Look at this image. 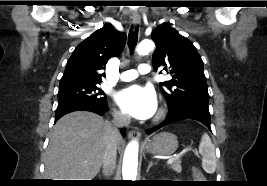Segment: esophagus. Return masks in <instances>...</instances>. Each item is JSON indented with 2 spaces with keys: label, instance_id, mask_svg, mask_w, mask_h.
<instances>
[{
  "label": "esophagus",
  "instance_id": "1",
  "mask_svg": "<svg viewBox=\"0 0 267 186\" xmlns=\"http://www.w3.org/2000/svg\"><path fill=\"white\" fill-rule=\"evenodd\" d=\"M132 22L134 25H138L141 22V18L139 15H133ZM141 133L138 130H131L128 132V138L129 139H137L140 138Z\"/></svg>",
  "mask_w": 267,
  "mask_h": 186
}]
</instances>
